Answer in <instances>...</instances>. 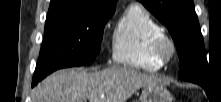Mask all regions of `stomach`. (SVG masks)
<instances>
[{
    "mask_svg": "<svg viewBox=\"0 0 221 102\" xmlns=\"http://www.w3.org/2000/svg\"><path fill=\"white\" fill-rule=\"evenodd\" d=\"M141 102H171V93L161 84L148 85L142 90Z\"/></svg>",
    "mask_w": 221,
    "mask_h": 102,
    "instance_id": "obj_1",
    "label": "stomach"
}]
</instances>
